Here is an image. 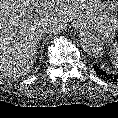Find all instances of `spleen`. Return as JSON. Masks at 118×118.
I'll return each instance as SVG.
<instances>
[{"label":"spleen","instance_id":"obj_1","mask_svg":"<svg viewBox=\"0 0 118 118\" xmlns=\"http://www.w3.org/2000/svg\"><path fill=\"white\" fill-rule=\"evenodd\" d=\"M111 61L118 68V44L115 43L110 47Z\"/></svg>","mask_w":118,"mask_h":118}]
</instances>
